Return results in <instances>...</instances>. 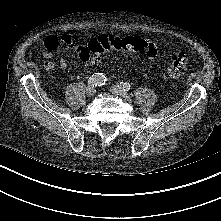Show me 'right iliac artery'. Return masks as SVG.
I'll return each instance as SVG.
<instances>
[{
	"label": "right iliac artery",
	"mask_w": 221,
	"mask_h": 221,
	"mask_svg": "<svg viewBox=\"0 0 221 221\" xmlns=\"http://www.w3.org/2000/svg\"><path fill=\"white\" fill-rule=\"evenodd\" d=\"M105 82H106V76L103 73H95L88 80V84L93 87L94 86H101Z\"/></svg>",
	"instance_id": "right-iliac-artery-1"
}]
</instances>
